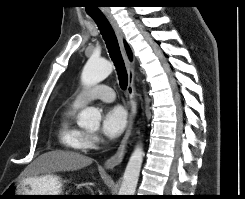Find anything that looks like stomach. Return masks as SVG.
<instances>
[{
    "mask_svg": "<svg viewBox=\"0 0 245 199\" xmlns=\"http://www.w3.org/2000/svg\"><path fill=\"white\" fill-rule=\"evenodd\" d=\"M60 176L47 173L33 178H25L9 185L10 195L15 199H42L45 196H14V195H63Z\"/></svg>",
    "mask_w": 245,
    "mask_h": 199,
    "instance_id": "stomach-1",
    "label": "stomach"
}]
</instances>
